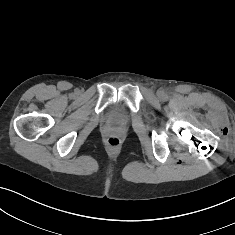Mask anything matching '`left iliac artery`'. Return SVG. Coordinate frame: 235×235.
Here are the masks:
<instances>
[{
    "mask_svg": "<svg viewBox=\"0 0 235 235\" xmlns=\"http://www.w3.org/2000/svg\"><path fill=\"white\" fill-rule=\"evenodd\" d=\"M163 97L166 99V98H167V95H166V94H164V95H163Z\"/></svg>",
    "mask_w": 235,
    "mask_h": 235,
    "instance_id": "obj_1",
    "label": "left iliac artery"
}]
</instances>
